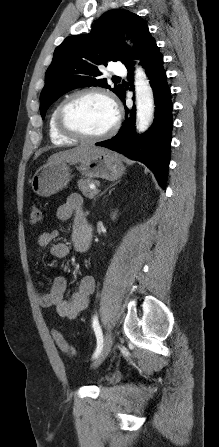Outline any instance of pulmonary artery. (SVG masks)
I'll return each mask as SVG.
<instances>
[{"instance_id": "obj_1", "label": "pulmonary artery", "mask_w": 219, "mask_h": 447, "mask_svg": "<svg viewBox=\"0 0 219 447\" xmlns=\"http://www.w3.org/2000/svg\"><path fill=\"white\" fill-rule=\"evenodd\" d=\"M111 71L115 75H124L126 73V68L122 63L117 62L113 65Z\"/></svg>"}]
</instances>
